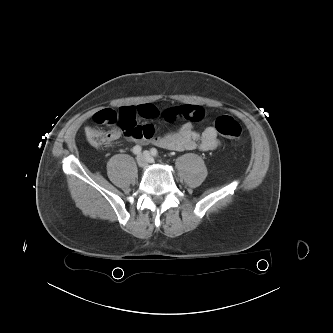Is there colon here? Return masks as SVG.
I'll list each match as a JSON object with an SVG mask.
<instances>
[{
	"label": "colon",
	"instance_id": "5ec220e1",
	"mask_svg": "<svg viewBox=\"0 0 333 333\" xmlns=\"http://www.w3.org/2000/svg\"><path fill=\"white\" fill-rule=\"evenodd\" d=\"M93 120L96 124L112 127V131L132 132L137 128L136 113L133 108H122L118 111L113 109H104L97 112ZM215 129L217 132L229 139H239L243 134L241 125L232 117L227 115L219 116L215 120ZM95 126H88L85 129L87 141L93 147H102L110 144V133Z\"/></svg>",
	"mask_w": 333,
	"mask_h": 333
}]
</instances>
